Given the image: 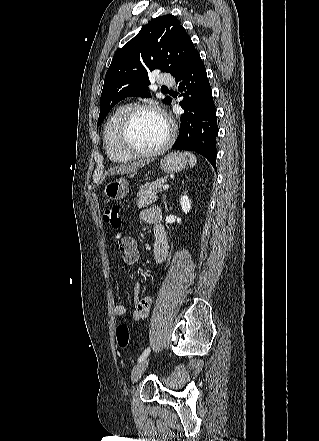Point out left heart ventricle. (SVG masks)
I'll list each match as a JSON object with an SVG mask.
<instances>
[{
    "mask_svg": "<svg viewBox=\"0 0 319 441\" xmlns=\"http://www.w3.org/2000/svg\"><path fill=\"white\" fill-rule=\"evenodd\" d=\"M167 125L164 120L151 111H142L134 118L128 138L130 144L141 151H151L166 139Z\"/></svg>",
    "mask_w": 319,
    "mask_h": 441,
    "instance_id": "b2bd125f",
    "label": "left heart ventricle"
}]
</instances>
